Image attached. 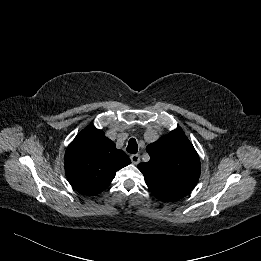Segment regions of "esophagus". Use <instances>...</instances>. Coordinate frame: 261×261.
I'll list each match as a JSON object with an SVG mask.
<instances>
[{
	"label": "esophagus",
	"instance_id": "obj_1",
	"mask_svg": "<svg viewBox=\"0 0 261 261\" xmlns=\"http://www.w3.org/2000/svg\"><path fill=\"white\" fill-rule=\"evenodd\" d=\"M130 159L133 164H138L140 162V156L138 154H133L130 156Z\"/></svg>",
	"mask_w": 261,
	"mask_h": 261
}]
</instances>
